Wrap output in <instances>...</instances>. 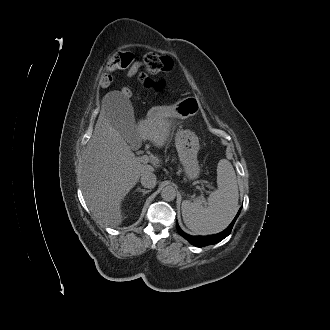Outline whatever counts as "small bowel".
Instances as JSON below:
<instances>
[{"mask_svg":"<svg viewBox=\"0 0 330 330\" xmlns=\"http://www.w3.org/2000/svg\"><path fill=\"white\" fill-rule=\"evenodd\" d=\"M142 67H143V64H142L141 61H135V62H133L127 68V71H126L127 77H129V78L134 77ZM103 84L104 85H108L109 82L103 81Z\"/></svg>","mask_w":330,"mask_h":330,"instance_id":"obj_1","label":"small bowel"}]
</instances>
